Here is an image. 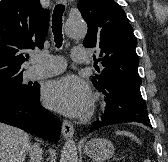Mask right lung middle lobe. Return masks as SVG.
Returning <instances> with one entry per match:
<instances>
[{"label":"right lung middle lobe","instance_id":"1","mask_svg":"<svg viewBox=\"0 0 168 162\" xmlns=\"http://www.w3.org/2000/svg\"><path fill=\"white\" fill-rule=\"evenodd\" d=\"M23 72L0 75V92L28 93L34 86L22 84Z\"/></svg>","mask_w":168,"mask_h":162}]
</instances>
